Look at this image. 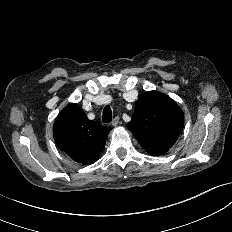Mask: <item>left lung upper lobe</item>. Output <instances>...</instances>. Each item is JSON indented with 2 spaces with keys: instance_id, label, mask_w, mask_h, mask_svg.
Wrapping results in <instances>:
<instances>
[{
  "instance_id": "obj_1",
  "label": "left lung upper lobe",
  "mask_w": 232,
  "mask_h": 232,
  "mask_svg": "<svg viewBox=\"0 0 232 232\" xmlns=\"http://www.w3.org/2000/svg\"><path fill=\"white\" fill-rule=\"evenodd\" d=\"M184 126V115L170 97L156 91L140 94L128 128L147 152L171 148Z\"/></svg>"
}]
</instances>
